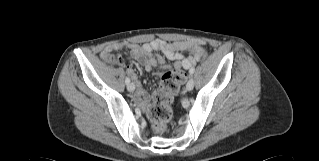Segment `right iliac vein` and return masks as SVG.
<instances>
[{"instance_id":"63e3f726","label":"right iliac vein","mask_w":319,"mask_h":161,"mask_svg":"<svg viewBox=\"0 0 319 161\" xmlns=\"http://www.w3.org/2000/svg\"><path fill=\"white\" fill-rule=\"evenodd\" d=\"M127 89H128V91L133 92V91L135 90L134 84H133V83H129V84L127 85Z\"/></svg>"}]
</instances>
